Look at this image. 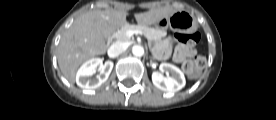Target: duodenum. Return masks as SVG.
<instances>
[{
  "mask_svg": "<svg viewBox=\"0 0 276 120\" xmlns=\"http://www.w3.org/2000/svg\"><path fill=\"white\" fill-rule=\"evenodd\" d=\"M112 39H113V35L110 34V35L107 37V41L110 43V42L112 41Z\"/></svg>",
  "mask_w": 276,
  "mask_h": 120,
  "instance_id": "1",
  "label": "duodenum"
}]
</instances>
